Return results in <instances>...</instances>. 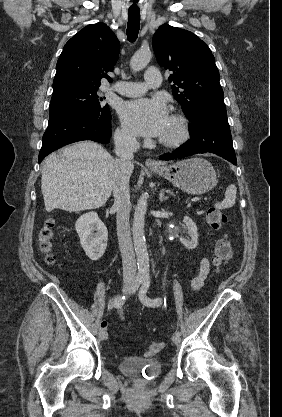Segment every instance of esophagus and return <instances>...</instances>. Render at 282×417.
<instances>
[{"mask_svg": "<svg viewBox=\"0 0 282 417\" xmlns=\"http://www.w3.org/2000/svg\"><path fill=\"white\" fill-rule=\"evenodd\" d=\"M145 164L147 165V167H159L160 166L155 160H152L151 158L146 159Z\"/></svg>", "mask_w": 282, "mask_h": 417, "instance_id": "esophagus-1", "label": "esophagus"}]
</instances>
